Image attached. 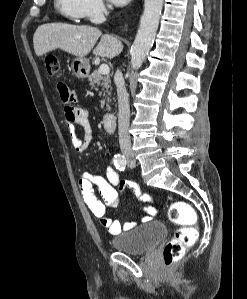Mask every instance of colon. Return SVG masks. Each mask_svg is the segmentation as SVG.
I'll return each mask as SVG.
<instances>
[{
  "mask_svg": "<svg viewBox=\"0 0 247 299\" xmlns=\"http://www.w3.org/2000/svg\"><path fill=\"white\" fill-rule=\"evenodd\" d=\"M45 66L49 75H56L60 70L59 60L52 54L45 57ZM132 191L137 194L141 192L139 188L134 186L132 187ZM168 218L178 228L163 250V258L166 266H170L180 260L185 254L186 249L198 236L196 214L189 204L179 201L172 203L168 210Z\"/></svg>",
  "mask_w": 247,
  "mask_h": 299,
  "instance_id": "obj_1",
  "label": "colon"
}]
</instances>
